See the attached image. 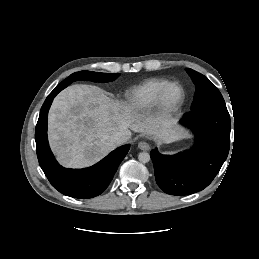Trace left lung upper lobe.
I'll return each instance as SVG.
<instances>
[{"mask_svg":"<svg viewBox=\"0 0 259 259\" xmlns=\"http://www.w3.org/2000/svg\"><path fill=\"white\" fill-rule=\"evenodd\" d=\"M187 72L196 85L195 98L192 111L206 107H226L225 101L219 90L204 75L188 68Z\"/></svg>","mask_w":259,"mask_h":259,"instance_id":"5c2ea615","label":"left lung upper lobe"}]
</instances>
